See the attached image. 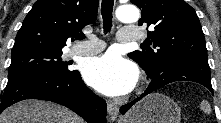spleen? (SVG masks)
Masks as SVG:
<instances>
[{
  "instance_id": "3e777b00",
  "label": "spleen",
  "mask_w": 221,
  "mask_h": 123,
  "mask_svg": "<svg viewBox=\"0 0 221 123\" xmlns=\"http://www.w3.org/2000/svg\"><path fill=\"white\" fill-rule=\"evenodd\" d=\"M200 107L205 113L207 114L211 113V107L206 101H202Z\"/></svg>"
}]
</instances>
